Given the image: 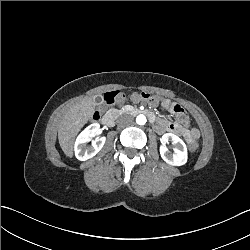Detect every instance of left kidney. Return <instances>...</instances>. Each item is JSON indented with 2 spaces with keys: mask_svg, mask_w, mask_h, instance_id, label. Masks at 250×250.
<instances>
[{
  "mask_svg": "<svg viewBox=\"0 0 250 250\" xmlns=\"http://www.w3.org/2000/svg\"><path fill=\"white\" fill-rule=\"evenodd\" d=\"M171 141L175 145V153L171 154L166 144ZM161 157L169 164L180 166L187 161V148L183 140L172 133H165L161 137V145L159 147Z\"/></svg>",
  "mask_w": 250,
  "mask_h": 250,
  "instance_id": "1",
  "label": "left kidney"
}]
</instances>
